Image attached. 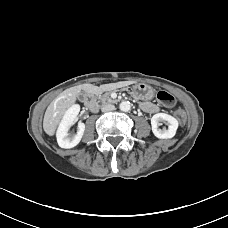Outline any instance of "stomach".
Returning a JSON list of instances; mask_svg holds the SVG:
<instances>
[{
    "instance_id": "stomach-1",
    "label": "stomach",
    "mask_w": 228,
    "mask_h": 228,
    "mask_svg": "<svg viewBox=\"0 0 228 228\" xmlns=\"http://www.w3.org/2000/svg\"><path fill=\"white\" fill-rule=\"evenodd\" d=\"M131 89L133 96L140 100H151L154 96L152 87L145 83H137Z\"/></svg>"
}]
</instances>
